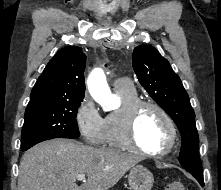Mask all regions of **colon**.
<instances>
[{"mask_svg": "<svg viewBox=\"0 0 221 190\" xmlns=\"http://www.w3.org/2000/svg\"><path fill=\"white\" fill-rule=\"evenodd\" d=\"M165 190H185V187L181 182H171L165 187Z\"/></svg>", "mask_w": 221, "mask_h": 190, "instance_id": "obj_1", "label": "colon"}]
</instances>
